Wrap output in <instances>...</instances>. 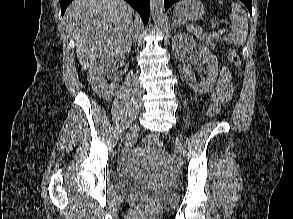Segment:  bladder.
Returning a JSON list of instances; mask_svg holds the SVG:
<instances>
[{
  "instance_id": "31cf9c89",
  "label": "bladder",
  "mask_w": 293,
  "mask_h": 219,
  "mask_svg": "<svg viewBox=\"0 0 293 219\" xmlns=\"http://www.w3.org/2000/svg\"><path fill=\"white\" fill-rule=\"evenodd\" d=\"M114 184L120 191L145 195L163 206L172 205L177 200V191L172 186L155 183L128 173L116 174Z\"/></svg>"
}]
</instances>
